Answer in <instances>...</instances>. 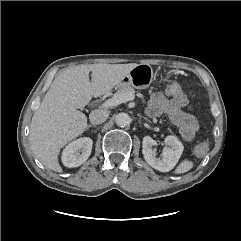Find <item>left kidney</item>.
<instances>
[{
    "instance_id": "obj_1",
    "label": "left kidney",
    "mask_w": 241,
    "mask_h": 241,
    "mask_svg": "<svg viewBox=\"0 0 241 241\" xmlns=\"http://www.w3.org/2000/svg\"><path fill=\"white\" fill-rule=\"evenodd\" d=\"M164 142L168 147L163 151L161 158H156L152 148L157 145V142L150 136H145L142 141V153L151 167L161 172H168L179 161L184 147L177 137L172 135L167 136Z\"/></svg>"
}]
</instances>
